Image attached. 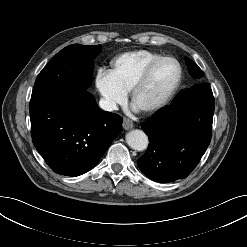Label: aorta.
Wrapping results in <instances>:
<instances>
[{"label": "aorta", "mask_w": 247, "mask_h": 247, "mask_svg": "<svg viewBox=\"0 0 247 247\" xmlns=\"http://www.w3.org/2000/svg\"><path fill=\"white\" fill-rule=\"evenodd\" d=\"M127 144L136 151H143L148 146V137L141 130H132L126 134Z\"/></svg>", "instance_id": "1"}]
</instances>
